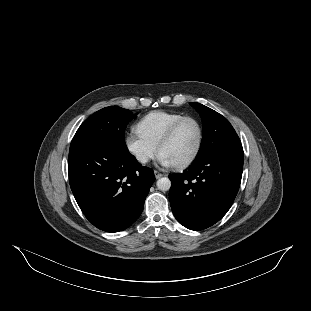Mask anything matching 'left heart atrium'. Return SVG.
Returning <instances> with one entry per match:
<instances>
[{"label": "left heart atrium", "instance_id": "obj_1", "mask_svg": "<svg viewBox=\"0 0 311 311\" xmlns=\"http://www.w3.org/2000/svg\"><path fill=\"white\" fill-rule=\"evenodd\" d=\"M158 164L163 166V167H172L175 166V163L170 160L166 155L160 154L158 156Z\"/></svg>", "mask_w": 311, "mask_h": 311}]
</instances>
